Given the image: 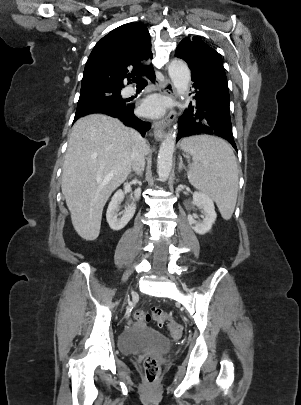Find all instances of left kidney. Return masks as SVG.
Here are the masks:
<instances>
[{"mask_svg":"<svg viewBox=\"0 0 301 405\" xmlns=\"http://www.w3.org/2000/svg\"><path fill=\"white\" fill-rule=\"evenodd\" d=\"M193 202L203 210V220L196 221L193 215H188V222L192 229L199 235H204L210 231L216 221L217 214L211 197L203 192H194Z\"/></svg>","mask_w":301,"mask_h":405,"instance_id":"left-kidney-1","label":"left kidney"}]
</instances>
